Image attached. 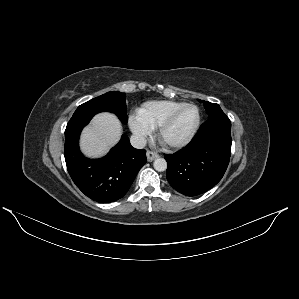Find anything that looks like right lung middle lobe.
I'll list each match as a JSON object with an SVG mask.
<instances>
[{"instance_id": "dd1d6c3e", "label": "right lung middle lobe", "mask_w": 299, "mask_h": 299, "mask_svg": "<svg viewBox=\"0 0 299 299\" xmlns=\"http://www.w3.org/2000/svg\"><path fill=\"white\" fill-rule=\"evenodd\" d=\"M99 112H113L123 123H127L125 93L111 91L91 99L80 105L72 117L94 116Z\"/></svg>"}]
</instances>
